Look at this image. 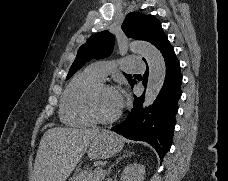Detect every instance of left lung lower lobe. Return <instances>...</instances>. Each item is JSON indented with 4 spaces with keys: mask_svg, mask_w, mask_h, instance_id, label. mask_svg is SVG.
<instances>
[{
    "mask_svg": "<svg viewBox=\"0 0 228 181\" xmlns=\"http://www.w3.org/2000/svg\"><path fill=\"white\" fill-rule=\"evenodd\" d=\"M156 48L162 53L166 64L165 81L157 99L144 109L142 107L144 94L140 97L134 96V107L131 113L112 130L128 139L149 143L162 159L169 150L174 133L175 115L178 111V100L181 97L182 75L179 61L168 39L162 40ZM134 78L142 80V78ZM147 78L148 68L144 74V86L147 84ZM135 84L136 80L131 86Z\"/></svg>",
    "mask_w": 228,
    "mask_h": 181,
    "instance_id": "obj_1",
    "label": "left lung lower lobe"
}]
</instances>
